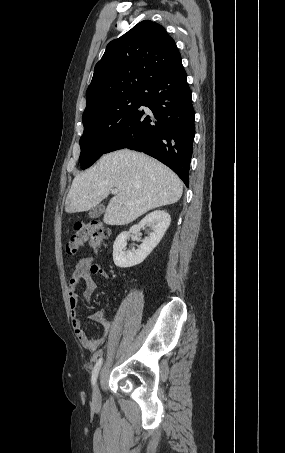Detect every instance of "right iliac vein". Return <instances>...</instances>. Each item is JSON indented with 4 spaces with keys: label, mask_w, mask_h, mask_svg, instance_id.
Returning a JSON list of instances; mask_svg holds the SVG:
<instances>
[{
    "label": "right iliac vein",
    "mask_w": 285,
    "mask_h": 453,
    "mask_svg": "<svg viewBox=\"0 0 285 453\" xmlns=\"http://www.w3.org/2000/svg\"><path fill=\"white\" fill-rule=\"evenodd\" d=\"M93 403L96 407H99L101 404V393H100V388L99 384L96 383L94 390H93Z\"/></svg>",
    "instance_id": "right-iliac-vein-1"
}]
</instances>
